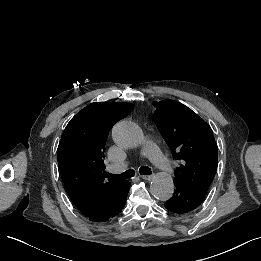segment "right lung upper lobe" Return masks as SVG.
<instances>
[{"instance_id": "1", "label": "right lung upper lobe", "mask_w": 261, "mask_h": 261, "mask_svg": "<svg viewBox=\"0 0 261 261\" xmlns=\"http://www.w3.org/2000/svg\"><path fill=\"white\" fill-rule=\"evenodd\" d=\"M133 108L130 103H91L70 120L61 136L57 149L60 173L70 199L82 214L126 183L105 181L103 157L110 129Z\"/></svg>"}]
</instances>
